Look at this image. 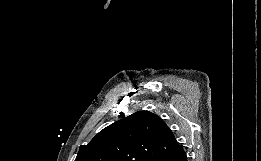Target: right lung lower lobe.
Segmentation results:
<instances>
[{
	"label": "right lung lower lobe",
	"instance_id": "right-lung-lower-lobe-1",
	"mask_svg": "<svg viewBox=\"0 0 261 161\" xmlns=\"http://www.w3.org/2000/svg\"><path fill=\"white\" fill-rule=\"evenodd\" d=\"M154 161H187V156L183 148H181L180 150L174 153H171L163 157H159Z\"/></svg>",
	"mask_w": 261,
	"mask_h": 161
}]
</instances>
